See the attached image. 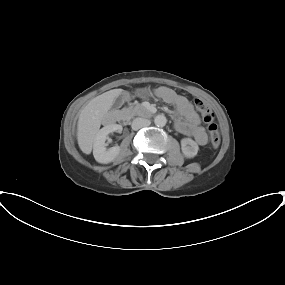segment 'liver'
Instances as JSON below:
<instances>
[{
    "label": "liver",
    "mask_w": 285,
    "mask_h": 285,
    "mask_svg": "<svg viewBox=\"0 0 285 285\" xmlns=\"http://www.w3.org/2000/svg\"><path fill=\"white\" fill-rule=\"evenodd\" d=\"M118 94V89L107 91L92 99L82 109L77 125V140L83 153H91L101 123L105 120Z\"/></svg>",
    "instance_id": "1"
}]
</instances>
